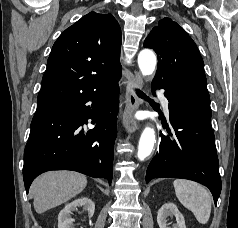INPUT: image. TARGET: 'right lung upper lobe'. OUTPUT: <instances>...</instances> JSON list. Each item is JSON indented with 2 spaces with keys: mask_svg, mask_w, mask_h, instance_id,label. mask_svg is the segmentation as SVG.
<instances>
[{
  "mask_svg": "<svg viewBox=\"0 0 238 228\" xmlns=\"http://www.w3.org/2000/svg\"><path fill=\"white\" fill-rule=\"evenodd\" d=\"M121 30L111 14L90 12L54 43L37 108L68 101L115 84L121 77Z\"/></svg>",
  "mask_w": 238,
  "mask_h": 228,
  "instance_id": "obj_1",
  "label": "right lung upper lobe"
}]
</instances>
